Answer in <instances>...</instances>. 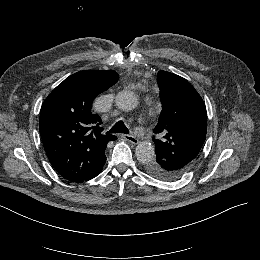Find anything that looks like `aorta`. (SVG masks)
Wrapping results in <instances>:
<instances>
[{"label":"aorta","mask_w":260,"mask_h":260,"mask_svg":"<svg viewBox=\"0 0 260 260\" xmlns=\"http://www.w3.org/2000/svg\"><path fill=\"white\" fill-rule=\"evenodd\" d=\"M115 104L123 111L133 110L138 105L137 96L132 91L123 90L115 97ZM136 158L141 163H149L155 156V148L148 141L140 142L135 150Z\"/></svg>","instance_id":"762f6f07"}]
</instances>
